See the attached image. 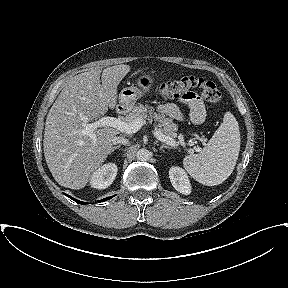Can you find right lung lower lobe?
Returning <instances> with one entry per match:
<instances>
[{
	"label": "right lung lower lobe",
	"instance_id": "obj_1",
	"mask_svg": "<svg viewBox=\"0 0 288 288\" xmlns=\"http://www.w3.org/2000/svg\"><path fill=\"white\" fill-rule=\"evenodd\" d=\"M65 195L68 196L69 198H71L72 200H74L75 202L79 203V204H87V203H85V202L76 200V199L72 198L71 196H69V195H67V194H65ZM110 198H112V196H111V197L104 198V199L100 200V202L106 201V200H108V199H110Z\"/></svg>",
	"mask_w": 288,
	"mask_h": 288
}]
</instances>
